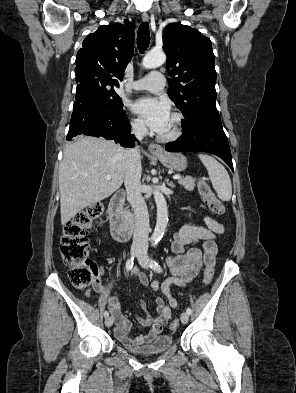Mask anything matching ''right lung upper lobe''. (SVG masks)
I'll list each match as a JSON object with an SVG mask.
<instances>
[{
  "label": "right lung upper lobe",
  "instance_id": "right-lung-upper-lobe-1",
  "mask_svg": "<svg viewBox=\"0 0 296 393\" xmlns=\"http://www.w3.org/2000/svg\"><path fill=\"white\" fill-rule=\"evenodd\" d=\"M135 25H102L89 34L76 57V80L94 77L113 86H119L124 70L133 56Z\"/></svg>",
  "mask_w": 296,
  "mask_h": 393
}]
</instances>
